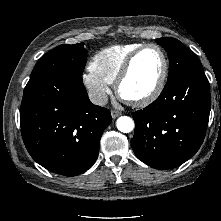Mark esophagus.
I'll return each mask as SVG.
<instances>
[{
    "label": "esophagus",
    "mask_w": 221,
    "mask_h": 221,
    "mask_svg": "<svg viewBox=\"0 0 221 221\" xmlns=\"http://www.w3.org/2000/svg\"><path fill=\"white\" fill-rule=\"evenodd\" d=\"M120 115H121V112L118 111V110H112L111 111V116H112L113 119L119 117Z\"/></svg>",
    "instance_id": "esophagus-1"
}]
</instances>
